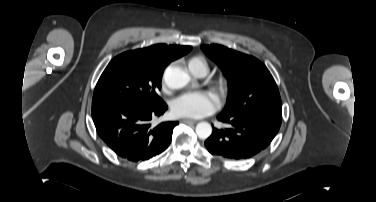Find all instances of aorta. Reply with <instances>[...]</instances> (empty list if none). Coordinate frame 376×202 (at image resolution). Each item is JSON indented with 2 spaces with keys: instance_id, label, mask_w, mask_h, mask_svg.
I'll return each mask as SVG.
<instances>
[{
  "instance_id": "762f6f07",
  "label": "aorta",
  "mask_w": 376,
  "mask_h": 202,
  "mask_svg": "<svg viewBox=\"0 0 376 202\" xmlns=\"http://www.w3.org/2000/svg\"><path fill=\"white\" fill-rule=\"evenodd\" d=\"M164 81L171 89H181L191 80L190 75L179 67H169L164 73ZM212 133V127L208 122H200L196 126V134L201 139L208 138Z\"/></svg>"
}]
</instances>
